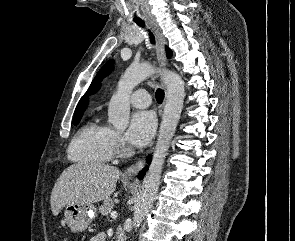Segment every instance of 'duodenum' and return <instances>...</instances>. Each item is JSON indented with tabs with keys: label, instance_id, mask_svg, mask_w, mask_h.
Instances as JSON below:
<instances>
[{
	"label": "duodenum",
	"instance_id": "1",
	"mask_svg": "<svg viewBox=\"0 0 295 241\" xmlns=\"http://www.w3.org/2000/svg\"><path fill=\"white\" fill-rule=\"evenodd\" d=\"M116 241H125V238L121 235H118Z\"/></svg>",
	"mask_w": 295,
	"mask_h": 241
}]
</instances>
